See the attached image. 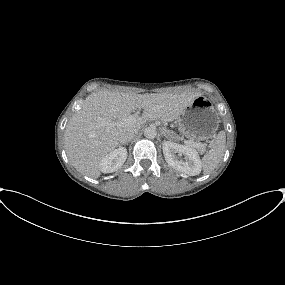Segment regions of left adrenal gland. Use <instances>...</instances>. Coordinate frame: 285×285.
Segmentation results:
<instances>
[{"instance_id":"1","label":"left adrenal gland","mask_w":285,"mask_h":285,"mask_svg":"<svg viewBox=\"0 0 285 285\" xmlns=\"http://www.w3.org/2000/svg\"><path fill=\"white\" fill-rule=\"evenodd\" d=\"M162 134H163L167 139H171V137H170V135H169V134H170L169 131L163 129Z\"/></svg>"}]
</instances>
